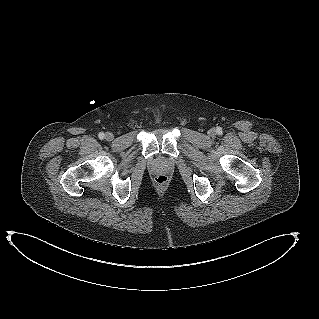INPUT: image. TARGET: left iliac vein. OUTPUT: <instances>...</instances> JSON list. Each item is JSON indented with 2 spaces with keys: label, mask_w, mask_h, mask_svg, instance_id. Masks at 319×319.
<instances>
[{
  "label": "left iliac vein",
  "mask_w": 319,
  "mask_h": 319,
  "mask_svg": "<svg viewBox=\"0 0 319 319\" xmlns=\"http://www.w3.org/2000/svg\"><path fill=\"white\" fill-rule=\"evenodd\" d=\"M208 134H209L210 136H214V135H215V130H214V129H210L209 132H208Z\"/></svg>",
  "instance_id": "1"
}]
</instances>
